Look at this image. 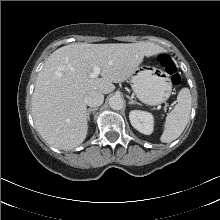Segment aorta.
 Wrapping results in <instances>:
<instances>
[{
    "label": "aorta",
    "mask_w": 220,
    "mask_h": 220,
    "mask_svg": "<svg viewBox=\"0 0 220 220\" xmlns=\"http://www.w3.org/2000/svg\"><path fill=\"white\" fill-rule=\"evenodd\" d=\"M109 106L113 110H121L124 107V100L120 96H112L109 99Z\"/></svg>",
    "instance_id": "1"
}]
</instances>
